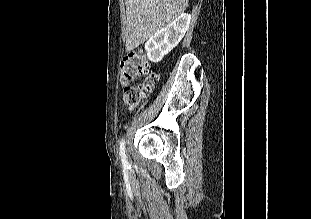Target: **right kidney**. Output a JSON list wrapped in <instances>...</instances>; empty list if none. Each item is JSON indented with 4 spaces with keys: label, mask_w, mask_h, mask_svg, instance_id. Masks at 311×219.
Listing matches in <instances>:
<instances>
[{
    "label": "right kidney",
    "mask_w": 311,
    "mask_h": 219,
    "mask_svg": "<svg viewBox=\"0 0 311 219\" xmlns=\"http://www.w3.org/2000/svg\"><path fill=\"white\" fill-rule=\"evenodd\" d=\"M191 16L181 14L170 24L156 32L145 43L147 57L151 62L157 63L163 59L184 37L189 28Z\"/></svg>",
    "instance_id": "1"
}]
</instances>
